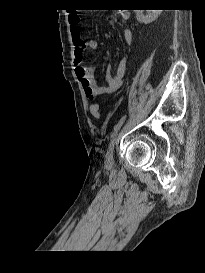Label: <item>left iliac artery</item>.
<instances>
[{
    "label": "left iliac artery",
    "mask_w": 205,
    "mask_h": 273,
    "mask_svg": "<svg viewBox=\"0 0 205 273\" xmlns=\"http://www.w3.org/2000/svg\"><path fill=\"white\" fill-rule=\"evenodd\" d=\"M125 118H126V115L123 116V117L120 119V121L115 125V127H114V132L117 131V130L122 126V124H123ZM113 134H114V133H113ZM113 134H112V136H113Z\"/></svg>",
    "instance_id": "1"
}]
</instances>
